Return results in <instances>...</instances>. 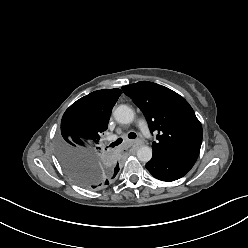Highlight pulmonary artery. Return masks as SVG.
Masks as SVG:
<instances>
[{
	"mask_svg": "<svg viewBox=\"0 0 248 248\" xmlns=\"http://www.w3.org/2000/svg\"><path fill=\"white\" fill-rule=\"evenodd\" d=\"M139 129L141 133L146 136L149 133V127L147 125V122L145 120H140L138 123Z\"/></svg>",
	"mask_w": 248,
	"mask_h": 248,
	"instance_id": "1",
	"label": "pulmonary artery"
}]
</instances>
